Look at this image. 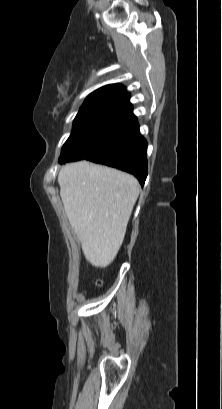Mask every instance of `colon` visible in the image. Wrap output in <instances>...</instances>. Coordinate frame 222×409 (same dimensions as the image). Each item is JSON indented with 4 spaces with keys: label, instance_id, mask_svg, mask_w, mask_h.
I'll return each instance as SVG.
<instances>
[{
    "label": "colon",
    "instance_id": "5ec220e1",
    "mask_svg": "<svg viewBox=\"0 0 222 409\" xmlns=\"http://www.w3.org/2000/svg\"><path fill=\"white\" fill-rule=\"evenodd\" d=\"M97 283H98V284H101V281H98Z\"/></svg>",
    "mask_w": 222,
    "mask_h": 409
}]
</instances>
